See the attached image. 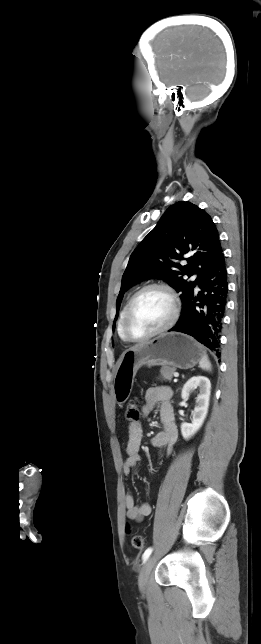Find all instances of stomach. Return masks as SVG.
Returning <instances> with one entry per match:
<instances>
[{
  "label": "stomach",
  "instance_id": "stomach-1",
  "mask_svg": "<svg viewBox=\"0 0 261 644\" xmlns=\"http://www.w3.org/2000/svg\"><path fill=\"white\" fill-rule=\"evenodd\" d=\"M205 355L203 347L181 333H164L120 358L113 380V394L118 404L125 403L132 392L134 378L142 366H164L187 370Z\"/></svg>",
  "mask_w": 261,
  "mask_h": 644
}]
</instances>
